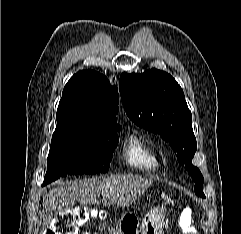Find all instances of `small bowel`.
I'll return each instance as SVG.
<instances>
[{"mask_svg":"<svg viewBox=\"0 0 241 234\" xmlns=\"http://www.w3.org/2000/svg\"><path fill=\"white\" fill-rule=\"evenodd\" d=\"M83 234H91V233H89V232H84Z\"/></svg>","mask_w":241,"mask_h":234,"instance_id":"obj_1","label":"small bowel"}]
</instances>
